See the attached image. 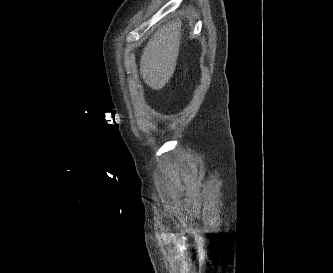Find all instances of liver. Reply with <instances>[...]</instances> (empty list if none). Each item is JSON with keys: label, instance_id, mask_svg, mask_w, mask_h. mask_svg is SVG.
<instances>
[{"label": "liver", "instance_id": "liver-1", "mask_svg": "<svg viewBox=\"0 0 333 273\" xmlns=\"http://www.w3.org/2000/svg\"><path fill=\"white\" fill-rule=\"evenodd\" d=\"M180 22L159 28L145 46L140 60V74L154 90L162 89L172 77L179 54Z\"/></svg>", "mask_w": 333, "mask_h": 273}]
</instances>
